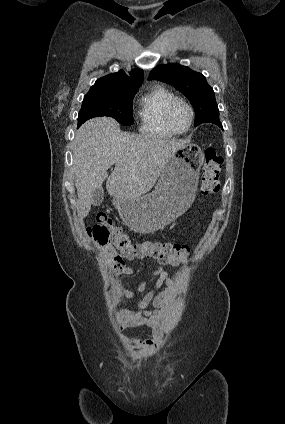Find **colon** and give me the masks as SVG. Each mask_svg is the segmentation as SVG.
<instances>
[{
  "instance_id": "1",
  "label": "colon",
  "mask_w": 285,
  "mask_h": 424,
  "mask_svg": "<svg viewBox=\"0 0 285 424\" xmlns=\"http://www.w3.org/2000/svg\"><path fill=\"white\" fill-rule=\"evenodd\" d=\"M204 164L201 173L200 193L212 196L220 190L219 173L222 157L213 148L204 150ZM87 234L100 248L102 258L111 271L119 272L124 268L125 260L153 258L161 264L178 265L187 262L191 248L187 245L162 242H134L130 236L105 215H98Z\"/></svg>"
}]
</instances>
